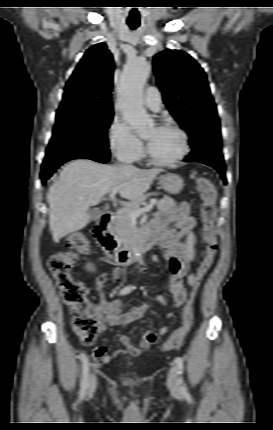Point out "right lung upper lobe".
I'll return each instance as SVG.
<instances>
[{"mask_svg": "<svg viewBox=\"0 0 273 430\" xmlns=\"http://www.w3.org/2000/svg\"><path fill=\"white\" fill-rule=\"evenodd\" d=\"M114 61L105 43L90 47L65 86L59 109L113 110Z\"/></svg>", "mask_w": 273, "mask_h": 430, "instance_id": "right-lung-upper-lobe-1", "label": "right lung upper lobe"}]
</instances>
